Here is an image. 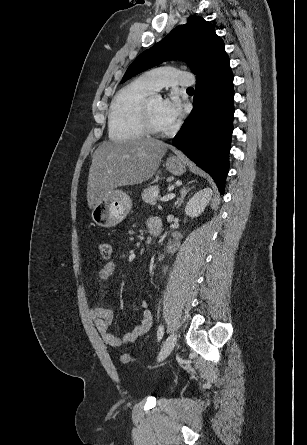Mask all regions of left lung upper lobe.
<instances>
[{
  "label": "left lung upper lobe",
  "instance_id": "left-lung-upper-lobe-1",
  "mask_svg": "<svg viewBox=\"0 0 307 445\" xmlns=\"http://www.w3.org/2000/svg\"><path fill=\"white\" fill-rule=\"evenodd\" d=\"M225 56L223 40L214 26L202 17L191 16L185 25L173 29L163 40L142 52L128 67L121 83L130 77L171 59H184L199 76Z\"/></svg>",
  "mask_w": 307,
  "mask_h": 445
}]
</instances>
